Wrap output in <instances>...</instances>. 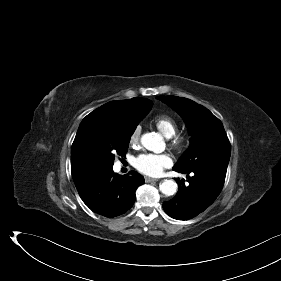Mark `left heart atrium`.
Returning <instances> with one entry per match:
<instances>
[{"label": "left heart atrium", "instance_id": "39dd6f15", "mask_svg": "<svg viewBox=\"0 0 281 281\" xmlns=\"http://www.w3.org/2000/svg\"><path fill=\"white\" fill-rule=\"evenodd\" d=\"M172 164L171 158L166 154H141L134 162L138 171L149 176H158L165 168Z\"/></svg>", "mask_w": 281, "mask_h": 281}]
</instances>
